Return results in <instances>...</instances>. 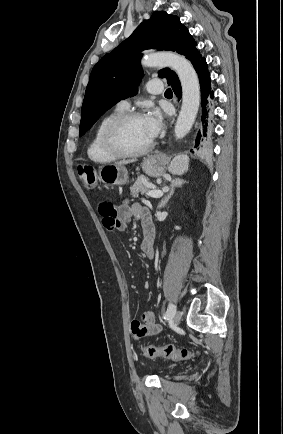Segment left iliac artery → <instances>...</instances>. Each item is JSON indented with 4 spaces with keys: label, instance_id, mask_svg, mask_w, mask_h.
<instances>
[{
    "label": "left iliac artery",
    "instance_id": "obj_1",
    "mask_svg": "<svg viewBox=\"0 0 283 434\" xmlns=\"http://www.w3.org/2000/svg\"><path fill=\"white\" fill-rule=\"evenodd\" d=\"M175 312H176V306L174 304L170 303L168 305L166 313L163 315V318L164 319H169V318L173 317V315L175 314Z\"/></svg>",
    "mask_w": 283,
    "mask_h": 434
}]
</instances>
